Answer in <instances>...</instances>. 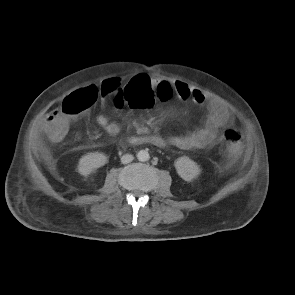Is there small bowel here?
Masks as SVG:
<instances>
[{"label":"small bowel","instance_id":"obj_1","mask_svg":"<svg viewBox=\"0 0 295 295\" xmlns=\"http://www.w3.org/2000/svg\"><path fill=\"white\" fill-rule=\"evenodd\" d=\"M104 84V83H103ZM102 84V86H103ZM101 86V87H102ZM126 87H159L170 86L173 94L181 101H192L195 104L206 108L208 117L203 128L184 135H172L162 137L160 135L134 136L129 139L131 144L148 143L156 147L165 148L175 146L182 150L204 149L209 147L215 141L220 129L230 123L231 115L229 110L221 103L208 100L206 96L198 89L189 86L181 81H168L156 76L145 73H138L126 80ZM104 96L108 94L103 92ZM125 101V97H124ZM123 101V103H124ZM118 106H121L117 104ZM55 119V111L45 117L42 122V129L47 133L48 128ZM98 124L111 135H116L120 131L117 122L112 121L109 117L101 112L97 117Z\"/></svg>","mask_w":295,"mask_h":295}]
</instances>
